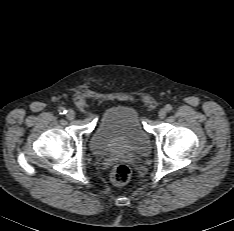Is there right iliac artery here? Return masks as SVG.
I'll return each instance as SVG.
<instances>
[{
    "instance_id": "1",
    "label": "right iliac artery",
    "mask_w": 234,
    "mask_h": 231,
    "mask_svg": "<svg viewBox=\"0 0 234 231\" xmlns=\"http://www.w3.org/2000/svg\"><path fill=\"white\" fill-rule=\"evenodd\" d=\"M58 112H59V114L64 115V114L67 113V110H66L64 107H60V108L58 109Z\"/></svg>"
}]
</instances>
